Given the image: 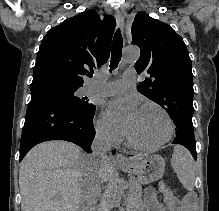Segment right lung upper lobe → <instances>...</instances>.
<instances>
[{"instance_id":"obj_1","label":"right lung upper lobe","mask_w":219,"mask_h":211,"mask_svg":"<svg viewBox=\"0 0 219 211\" xmlns=\"http://www.w3.org/2000/svg\"><path fill=\"white\" fill-rule=\"evenodd\" d=\"M115 25L114 17L106 15L101 20L91 10L51 28L37 54L31 91L53 84L83 86L88 69L107 61Z\"/></svg>"}]
</instances>
